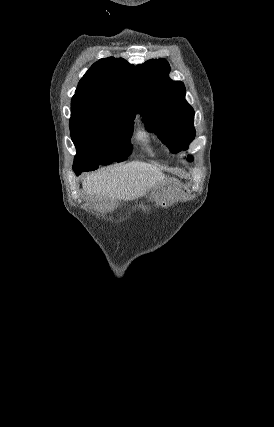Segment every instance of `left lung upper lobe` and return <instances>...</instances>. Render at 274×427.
I'll use <instances>...</instances> for the list:
<instances>
[{
	"instance_id": "obj_1",
	"label": "left lung upper lobe",
	"mask_w": 274,
	"mask_h": 427,
	"mask_svg": "<svg viewBox=\"0 0 274 427\" xmlns=\"http://www.w3.org/2000/svg\"><path fill=\"white\" fill-rule=\"evenodd\" d=\"M165 59H152L135 67L131 99L148 130L155 132L173 153L186 150L195 137L194 110L185 100L181 81H172ZM191 159V158H189Z\"/></svg>"
}]
</instances>
